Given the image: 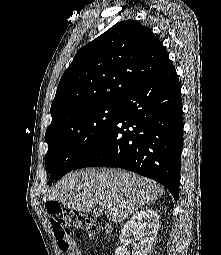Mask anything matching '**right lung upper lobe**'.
<instances>
[{"instance_id": "1", "label": "right lung upper lobe", "mask_w": 221, "mask_h": 255, "mask_svg": "<svg viewBox=\"0 0 221 255\" xmlns=\"http://www.w3.org/2000/svg\"><path fill=\"white\" fill-rule=\"evenodd\" d=\"M168 60L148 27L135 20L115 24L76 53L59 82L47 130L79 110L120 103Z\"/></svg>"}]
</instances>
